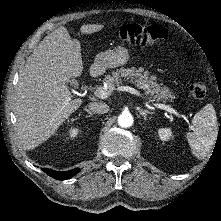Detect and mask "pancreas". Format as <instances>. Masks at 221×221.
<instances>
[{
    "mask_svg": "<svg viewBox=\"0 0 221 221\" xmlns=\"http://www.w3.org/2000/svg\"><path fill=\"white\" fill-rule=\"evenodd\" d=\"M154 79V76L150 75L147 71H143V68L131 67L125 69L122 67L116 72L113 71L112 75L106 76L105 82L110 91H113L116 86H119L125 80L133 83L140 89H144L157 101L168 102L175 99V95L167 87L154 82ZM145 85H148L149 88L147 89Z\"/></svg>",
    "mask_w": 221,
    "mask_h": 221,
    "instance_id": "cf45deb5",
    "label": "pancreas"
}]
</instances>
